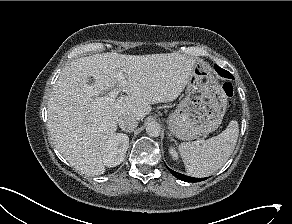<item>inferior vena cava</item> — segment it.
<instances>
[{
    "instance_id": "602c4592",
    "label": "inferior vena cava",
    "mask_w": 292,
    "mask_h": 224,
    "mask_svg": "<svg viewBox=\"0 0 292 224\" xmlns=\"http://www.w3.org/2000/svg\"><path fill=\"white\" fill-rule=\"evenodd\" d=\"M118 124L122 130L133 131L138 126V121L133 116L123 115L119 117Z\"/></svg>"
}]
</instances>
